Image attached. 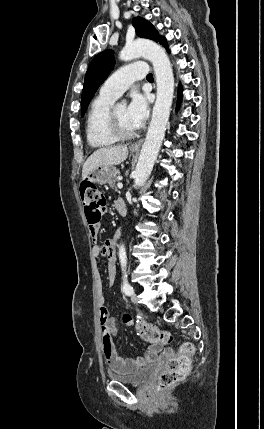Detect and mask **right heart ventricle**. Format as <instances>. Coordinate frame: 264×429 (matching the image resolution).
Instances as JSON below:
<instances>
[{
    "label": "right heart ventricle",
    "mask_w": 264,
    "mask_h": 429,
    "mask_svg": "<svg viewBox=\"0 0 264 429\" xmlns=\"http://www.w3.org/2000/svg\"><path fill=\"white\" fill-rule=\"evenodd\" d=\"M115 97L99 94L91 103L86 119V136L93 148H106L118 140L108 130V114Z\"/></svg>",
    "instance_id": "obj_1"
}]
</instances>
